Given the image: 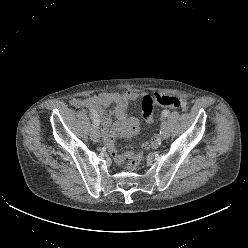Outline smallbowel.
I'll list each match as a JSON object with an SVG mask.
<instances>
[{
	"mask_svg": "<svg viewBox=\"0 0 248 248\" xmlns=\"http://www.w3.org/2000/svg\"><path fill=\"white\" fill-rule=\"evenodd\" d=\"M139 95L132 91L104 92L86 99H76L72 105L76 108L87 106L94 109L101 119L102 134L104 142L114 160L122 163L128 153L117 154L114 139L117 136H132L139 131V122L135 117L128 115V104L136 102ZM111 104L115 105L113 111L105 108ZM113 117L115 121L113 122ZM156 143V140H155Z\"/></svg>",
	"mask_w": 248,
	"mask_h": 248,
	"instance_id": "obj_1",
	"label": "small bowel"
}]
</instances>
